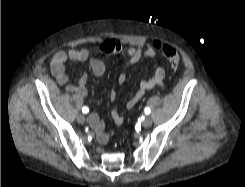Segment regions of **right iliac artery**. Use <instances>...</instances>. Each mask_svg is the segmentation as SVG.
I'll return each instance as SVG.
<instances>
[{
	"label": "right iliac artery",
	"mask_w": 245,
	"mask_h": 187,
	"mask_svg": "<svg viewBox=\"0 0 245 187\" xmlns=\"http://www.w3.org/2000/svg\"><path fill=\"white\" fill-rule=\"evenodd\" d=\"M82 112H83L84 114L88 113V112H89V108L86 107V106H84V107L82 108Z\"/></svg>",
	"instance_id": "1"
}]
</instances>
